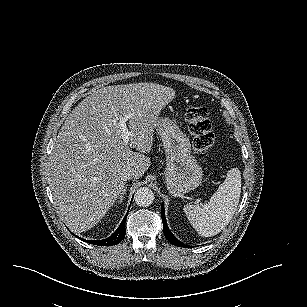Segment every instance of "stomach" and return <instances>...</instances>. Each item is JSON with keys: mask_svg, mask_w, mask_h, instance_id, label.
<instances>
[{"mask_svg": "<svg viewBox=\"0 0 307 307\" xmlns=\"http://www.w3.org/2000/svg\"><path fill=\"white\" fill-rule=\"evenodd\" d=\"M155 133L163 143L166 155L167 187L172 194H180L198 187L203 170L191 154L190 139L169 117L159 116Z\"/></svg>", "mask_w": 307, "mask_h": 307, "instance_id": "0dacf381", "label": "stomach"}]
</instances>
